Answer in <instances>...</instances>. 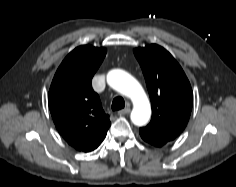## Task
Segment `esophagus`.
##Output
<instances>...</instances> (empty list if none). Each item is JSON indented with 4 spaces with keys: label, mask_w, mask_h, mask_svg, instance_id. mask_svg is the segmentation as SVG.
I'll return each instance as SVG.
<instances>
[{
    "label": "esophagus",
    "mask_w": 236,
    "mask_h": 187,
    "mask_svg": "<svg viewBox=\"0 0 236 187\" xmlns=\"http://www.w3.org/2000/svg\"><path fill=\"white\" fill-rule=\"evenodd\" d=\"M130 111H131L130 108L127 107L125 109H122V110L118 111V115L122 116V115L130 113Z\"/></svg>",
    "instance_id": "34e87169"
}]
</instances>
